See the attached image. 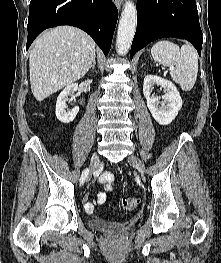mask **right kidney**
Instances as JSON below:
<instances>
[{
    "label": "right kidney",
    "mask_w": 221,
    "mask_h": 263,
    "mask_svg": "<svg viewBox=\"0 0 221 263\" xmlns=\"http://www.w3.org/2000/svg\"><path fill=\"white\" fill-rule=\"evenodd\" d=\"M78 90V84L72 83L63 89L59 94L56 101V117L57 119L65 124L72 122L77 113L79 112V107H74L71 110H66L67 101L70 96H74V93Z\"/></svg>",
    "instance_id": "1"
}]
</instances>
